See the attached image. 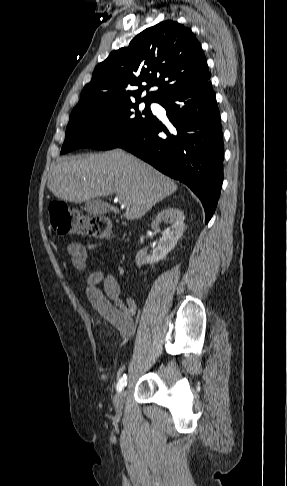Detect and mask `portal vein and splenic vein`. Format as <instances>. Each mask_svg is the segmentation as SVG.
<instances>
[{
  "label": "portal vein and splenic vein",
  "instance_id": "18ae733b",
  "mask_svg": "<svg viewBox=\"0 0 287 486\" xmlns=\"http://www.w3.org/2000/svg\"><path fill=\"white\" fill-rule=\"evenodd\" d=\"M121 204H126V201L124 199H117Z\"/></svg>",
  "mask_w": 287,
  "mask_h": 486
}]
</instances>
